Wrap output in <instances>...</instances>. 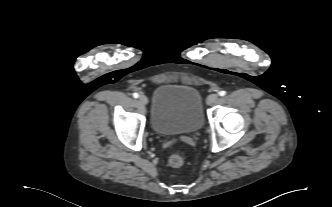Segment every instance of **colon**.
I'll use <instances>...</instances> for the list:
<instances>
[{
    "label": "colon",
    "instance_id": "5ec220e1",
    "mask_svg": "<svg viewBox=\"0 0 332 207\" xmlns=\"http://www.w3.org/2000/svg\"><path fill=\"white\" fill-rule=\"evenodd\" d=\"M184 163V158L179 153H174L169 157V164L173 167H180Z\"/></svg>",
    "mask_w": 332,
    "mask_h": 207
}]
</instances>
